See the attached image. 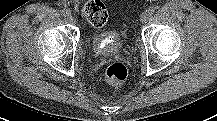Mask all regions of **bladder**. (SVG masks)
I'll list each match as a JSON object with an SVG mask.
<instances>
[{"label":"bladder","mask_w":217,"mask_h":121,"mask_svg":"<svg viewBox=\"0 0 217 121\" xmlns=\"http://www.w3.org/2000/svg\"><path fill=\"white\" fill-rule=\"evenodd\" d=\"M122 42L116 33L109 38L106 35H95L93 39V49L100 55H112L120 51Z\"/></svg>","instance_id":"1"}]
</instances>
